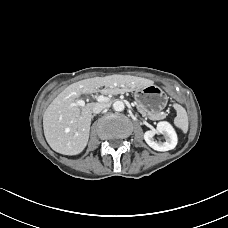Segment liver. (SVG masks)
I'll use <instances>...</instances> for the list:
<instances>
[{"label": "liver", "instance_id": "6515ba94", "mask_svg": "<svg viewBox=\"0 0 228 228\" xmlns=\"http://www.w3.org/2000/svg\"><path fill=\"white\" fill-rule=\"evenodd\" d=\"M152 84V80L142 77L109 75L69 85L53 99L44 112L43 130L47 143L63 155H77L85 149L95 103H87L84 107L72 106L82 94L97 92L103 86V94H119Z\"/></svg>", "mask_w": 228, "mask_h": 228}]
</instances>
